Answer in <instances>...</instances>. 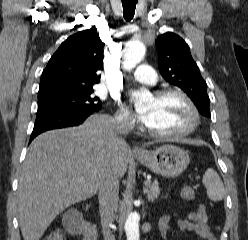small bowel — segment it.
<instances>
[{"label":"small bowel","mask_w":248,"mask_h":240,"mask_svg":"<svg viewBox=\"0 0 248 240\" xmlns=\"http://www.w3.org/2000/svg\"><path fill=\"white\" fill-rule=\"evenodd\" d=\"M179 213L165 214L158 221V228L163 237L170 234V221L177 217ZM185 219L178 220L176 227L182 232L194 233L201 239L217 240L214 228L209 224L208 215L203 205H199L195 210L185 212Z\"/></svg>","instance_id":"obj_1"}]
</instances>
